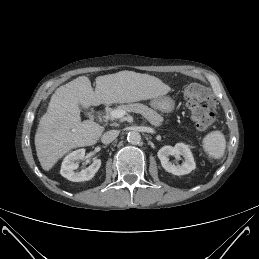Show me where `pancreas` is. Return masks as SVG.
<instances>
[{
	"label": "pancreas",
	"instance_id": "1",
	"mask_svg": "<svg viewBox=\"0 0 259 259\" xmlns=\"http://www.w3.org/2000/svg\"><path fill=\"white\" fill-rule=\"evenodd\" d=\"M116 109L124 110L126 112L139 113L144 118H146L150 122L151 125H153L155 127L161 126L162 122H163V117L160 114H158L155 110H153V109L149 108L148 106L141 104V103L120 105ZM111 111H113V110L110 109L108 111V115L110 118H113L110 114Z\"/></svg>",
	"mask_w": 259,
	"mask_h": 259
}]
</instances>
